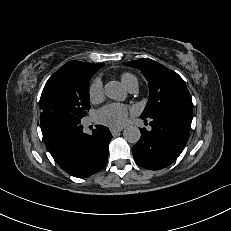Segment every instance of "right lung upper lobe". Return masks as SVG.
Here are the masks:
<instances>
[{
	"label": "right lung upper lobe",
	"instance_id": "cb5924a9",
	"mask_svg": "<svg viewBox=\"0 0 231 231\" xmlns=\"http://www.w3.org/2000/svg\"><path fill=\"white\" fill-rule=\"evenodd\" d=\"M104 64H91L80 61H70L63 65L59 70L72 69V70H99Z\"/></svg>",
	"mask_w": 231,
	"mask_h": 231
}]
</instances>
